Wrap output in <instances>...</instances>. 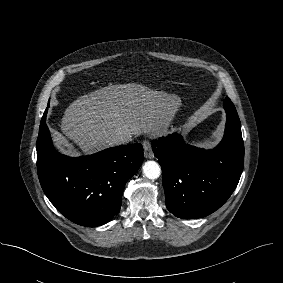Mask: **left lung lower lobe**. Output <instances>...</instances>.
<instances>
[{"label": "left lung lower lobe", "instance_id": "1", "mask_svg": "<svg viewBox=\"0 0 283 283\" xmlns=\"http://www.w3.org/2000/svg\"><path fill=\"white\" fill-rule=\"evenodd\" d=\"M225 134L213 150L189 146L178 133L152 141L163 172L168 210L179 218L205 217L235 190L244 166L241 124L231 101H224Z\"/></svg>", "mask_w": 283, "mask_h": 283}]
</instances>
